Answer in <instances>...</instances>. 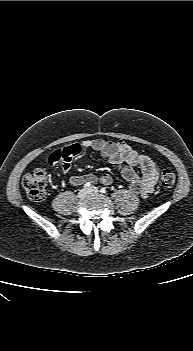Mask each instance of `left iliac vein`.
Segmentation results:
<instances>
[{"label": "left iliac vein", "mask_w": 193, "mask_h": 351, "mask_svg": "<svg viewBox=\"0 0 193 351\" xmlns=\"http://www.w3.org/2000/svg\"><path fill=\"white\" fill-rule=\"evenodd\" d=\"M88 193L89 194H98L99 193V190L97 187H91L88 189Z\"/></svg>", "instance_id": "4c4485c4"}]
</instances>
